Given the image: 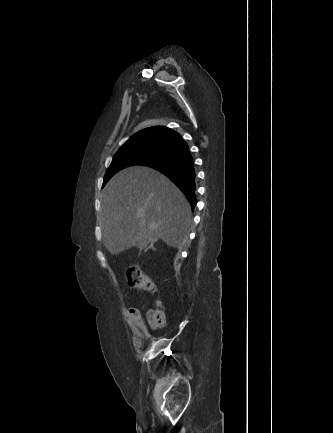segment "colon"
Listing matches in <instances>:
<instances>
[{
  "label": "colon",
  "instance_id": "obj_1",
  "mask_svg": "<svg viewBox=\"0 0 333 433\" xmlns=\"http://www.w3.org/2000/svg\"><path fill=\"white\" fill-rule=\"evenodd\" d=\"M126 276L129 287L154 291V284L140 266H130L127 269ZM148 319L157 327H164L166 325L165 314L159 309L151 310L148 314Z\"/></svg>",
  "mask_w": 333,
  "mask_h": 433
}]
</instances>
